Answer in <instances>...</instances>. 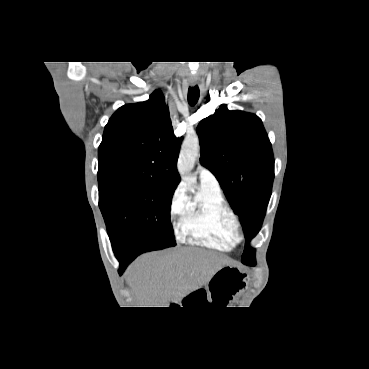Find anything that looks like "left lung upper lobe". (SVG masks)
<instances>
[{"mask_svg": "<svg viewBox=\"0 0 369 369\" xmlns=\"http://www.w3.org/2000/svg\"><path fill=\"white\" fill-rule=\"evenodd\" d=\"M197 133L200 162L219 181L246 238L242 263L256 264L255 249L248 246L262 225L271 196L274 158L262 121L254 114L229 111L226 105L203 119Z\"/></svg>", "mask_w": 369, "mask_h": 369, "instance_id": "5c2ea615", "label": "left lung upper lobe"}]
</instances>
